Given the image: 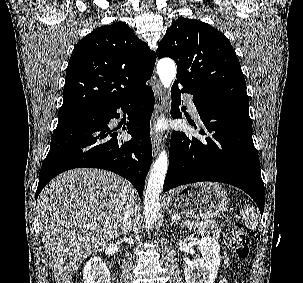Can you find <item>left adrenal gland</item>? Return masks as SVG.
I'll return each mask as SVG.
<instances>
[{
  "instance_id": "left-adrenal-gland-1",
  "label": "left adrenal gland",
  "mask_w": 303,
  "mask_h": 283,
  "mask_svg": "<svg viewBox=\"0 0 303 283\" xmlns=\"http://www.w3.org/2000/svg\"><path fill=\"white\" fill-rule=\"evenodd\" d=\"M178 224V222H177V220H175V219H171V223H170V226H172V225H177Z\"/></svg>"
}]
</instances>
